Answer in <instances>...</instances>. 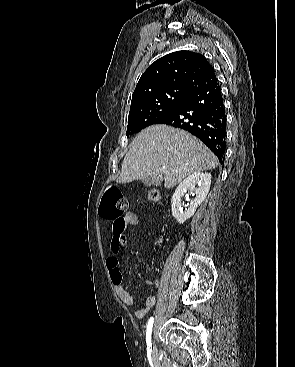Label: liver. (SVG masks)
<instances>
[{
    "instance_id": "obj_1",
    "label": "liver",
    "mask_w": 295,
    "mask_h": 367,
    "mask_svg": "<svg viewBox=\"0 0 295 367\" xmlns=\"http://www.w3.org/2000/svg\"><path fill=\"white\" fill-rule=\"evenodd\" d=\"M218 165L213 152L193 135L166 125H152L129 145L117 182L151 178L172 188L185 177Z\"/></svg>"
}]
</instances>
